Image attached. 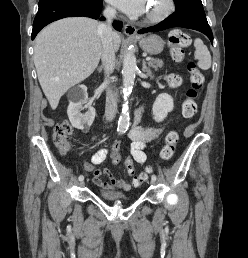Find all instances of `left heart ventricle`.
I'll return each mask as SVG.
<instances>
[{
	"label": "left heart ventricle",
	"instance_id": "obj_1",
	"mask_svg": "<svg viewBox=\"0 0 248 258\" xmlns=\"http://www.w3.org/2000/svg\"><path fill=\"white\" fill-rule=\"evenodd\" d=\"M164 2L165 0H152L146 11L147 15L160 11L164 6Z\"/></svg>",
	"mask_w": 248,
	"mask_h": 258
}]
</instances>
